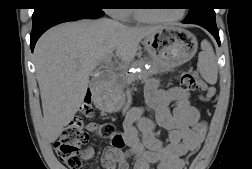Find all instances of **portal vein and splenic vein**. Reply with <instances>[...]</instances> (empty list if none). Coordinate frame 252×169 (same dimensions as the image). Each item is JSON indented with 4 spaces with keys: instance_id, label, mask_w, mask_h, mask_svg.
Listing matches in <instances>:
<instances>
[{
    "instance_id": "1",
    "label": "portal vein and splenic vein",
    "mask_w": 252,
    "mask_h": 169,
    "mask_svg": "<svg viewBox=\"0 0 252 169\" xmlns=\"http://www.w3.org/2000/svg\"><path fill=\"white\" fill-rule=\"evenodd\" d=\"M101 62L106 63V64H111V62H112V55H107V56H105V57L102 59Z\"/></svg>"
}]
</instances>
